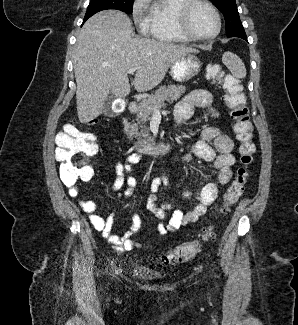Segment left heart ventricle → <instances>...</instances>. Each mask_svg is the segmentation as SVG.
Instances as JSON below:
<instances>
[{
  "label": "left heart ventricle",
  "mask_w": 298,
  "mask_h": 325,
  "mask_svg": "<svg viewBox=\"0 0 298 325\" xmlns=\"http://www.w3.org/2000/svg\"><path fill=\"white\" fill-rule=\"evenodd\" d=\"M188 28L198 38L202 40L208 39L216 29L213 16L203 6L196 5L189 12L186 20Z\"/></svg>",
  "instance_id": "left-heart-ventricle-1"
}]
</instances>
